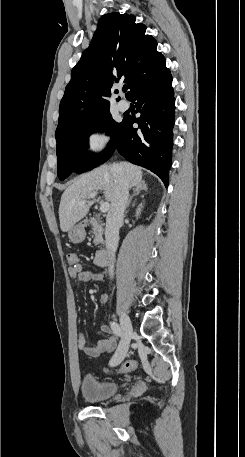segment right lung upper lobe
Wrapping results in <instances>:
<instances>
[{"label": "right lung upper lobe", "instance_id": "cb5924a9", "mask_svg": "<svg viewBox=\"0 0 245 457\" xmlns=\"http://www.w3.org/2000/svg\"><path fill=\"white\" fill-rule=\"evenodd\" d=\"M145 31L133 15L116 12L99 19L90 46L72 69L58 127L109 107L103 97L111 95L113 82L126 83L130 96L138 84L166 68L164 56L156 51L157 41Z\"/></svg>", "mask_w": 245, "mask_h": 457}]
</instances>
